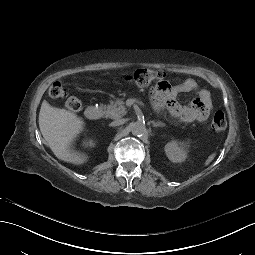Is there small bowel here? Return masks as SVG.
Instances as JSON below:
<instances>
[{
    "label": "small bowel",
    "mask_w": 255,
    "mask_h": 255,
    "mask_svg": "<svg viewBox=\"0 0 255 255\" xmlns=\"http://www.w3.org/2000/svg\"><path fill=\"white\" fill-rule=\"evenodd\" d=\"M186 92H196L197 97L188 106H180L174 101V98L179 93ZM154 93L156 96L155 102L159 106L162 105L161 96H164L169 101V112L186 122H204L212 109L210 92L206 89H200L194 79H186L174 87L166 83L163 89L155 87Z\"/></svg>",
    "instance_id": "small-bowel-1"
}]
</instances>
